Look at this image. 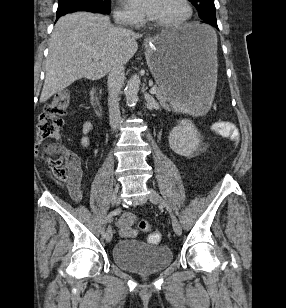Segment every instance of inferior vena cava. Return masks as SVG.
Segmentation results:
<instances>
[{"mask_svg":"<svg viewBox=\"0 0 286 308\" xmlns=\"http://www.w3.org/2000/svg\"><path fill=\"white\" fill-rule=\"evenodd\" d=\"M132 32L131 30H126ZM124 65L122 63H115L108 75V106H109V119L110 126L113 131H116L121 121V114L119 109V94L124 84L125 73Z\"/></svg>","mask_w":286,"mask_h":308,"instance_id":"inferior-vena-cava-1","label":"inferior vena cava"}]
</instances>
